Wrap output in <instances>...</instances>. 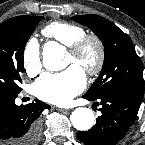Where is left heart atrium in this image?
Returning <instances> with one entry per match:
<instances>
[{
    "label": "left heart atrium",
    "mask_w": 145,
    "mask_h": 145,
    "mask_svg": "<svg viewBox=\"0 0 145 145\" xmlns=\"http://www.w3.org/2000/svg\"><path fill=\"white\" fill-rule=\"evenodd\" d=\"M86 84L85 74L78 65H70L59 73H46L33 86L35 95L49 103L64 105L80 93Z\"/></svg>",
    "instance_id": "left-heart-atrium-1"
}]
</instances>
